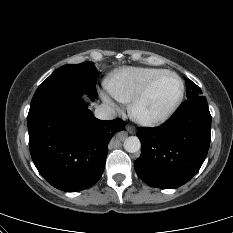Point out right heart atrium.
Returning a JSON list of instances; mask_svg holds the SVG:
<instances>
[{
  "label": "right heart atrium",
  "instance_id": "right-heart-atrium-1",
  "mask_svg": "<svg viewBox=\"0 0 233 233\" xmlns=\"http://www.w3.org/2000/svg\"><path fill=\"white\" fill-rule=\"evenodd\" d=\"M102 99L109 105L114 106L112 99L105 93L102 94Z\"/></svg>",
  "mask_w": 233,
  "mask_h": 233
}]
</instances>
